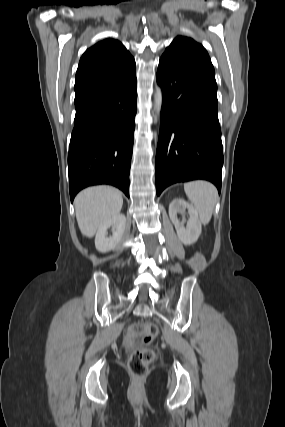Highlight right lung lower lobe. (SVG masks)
<instances>
[{"mask_svg": "<svg viewBox=\"0 0 285 427\" xmlns=\"http://www.w3.org/2000/svg\"><path fill=\"white\" fill-rule=\"evenodd\" d=\"M135 72L75 99L68 154L69 190L110 184L129 196L136 107Z\"/></svg>", "mask_w": 285, "mask_h": 427, "instance_id": "obj_1", "label": "right lung lower lobe"}]
</instances>
